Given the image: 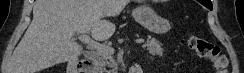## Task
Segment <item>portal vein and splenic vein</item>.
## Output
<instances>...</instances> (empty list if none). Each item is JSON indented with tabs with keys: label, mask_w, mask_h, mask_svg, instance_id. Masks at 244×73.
I'll list each match as a JSON object with an SVG mask.
<instances>
[{
	"label": "portal vein and splenic vein",
	"mask_w": 244,
	"mask_h": 73,
	"mask_svg": "<svg viewBox=\"0 0 244 73\" xmlns=\"http://www.w3.org/2000/svg\"><path fill=\"white\" fill-rule=\"evenodd\" d=\"M79 40L87 45H89L90 47L94 48L97 52H101V53H114V49L111 47H108L106 45H103L97 41H94L93 39H91L88 35L86 34H81L78 36ZM135 43L141 44L144 43V39H136Z\"/></svg>",
	"instance_id": "18ae733b"
}]
</instances>
